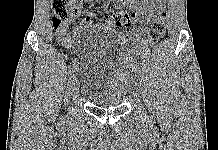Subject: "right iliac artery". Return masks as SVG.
Listing matches in <instances>:
<instances>
[{"label": "right iliac artery", "instance_id": "right-iliac-artery-1", "mask_svg": "<svg viewBox=\"0 0 218 150\" xmlns=\"http://www.w3.org/2000/svg\"><path fill=\"white\" fill-rule=\"evenodd\" d=\"M75 68V63H72L70 66H69V73H72L73 69Z\"/></svg>", "mask_w": 218, "mask_h": 150}]
</instances>
